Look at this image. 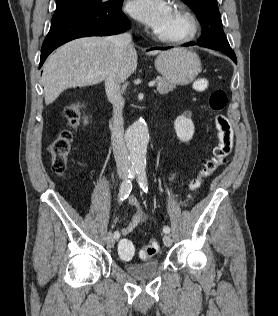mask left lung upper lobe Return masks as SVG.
<instances>
[{
	"label": "left lung upper lobe",
	"mask_w": 278,
	"mask_h": 316,
	"mask_svg": "<svg viewBox=\"0 0 278 316\" xmlns=\"http://www.w3.org/2000/svg\"><path fill=\"white\" fill-rule=\"evenodd\" d=\"M182 1L195 12L201 23L202 35L198 39V44L203 47L219 50L236 59L235 53L231 49L222 28L217 0Z\"/></svg>",
	"instance_id": "left-lung-upper-lobe-1"
}]
</instances>
